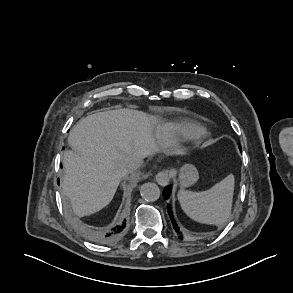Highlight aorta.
<instances>
[{"label":"aorta","instance_id":"762f6f07","mask_svg":"<svg viewBox=\"0 0 293 293\" xmlns=\"http://www.w3.org/2000/svg\"><path fill=\"white\" fill-rule=\"evenodd\" d=\"M140 194L145 201L154 202L160 197V189L157 184L147 182L140 187Z\"/></svg>","mask_w":293,"mask_h":293}]
</instances>
